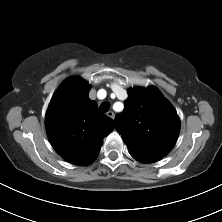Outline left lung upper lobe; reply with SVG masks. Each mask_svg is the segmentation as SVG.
I'll list each match as a JSON object with an SVG mask.
<instances>
[{"label":"left lung upper lobe","instance_id":"1","mask_svg":"<svg viewBox=\"0 0 222 222\" xmlns=\"http://www.w3.org/2000/svg\"><path fill=\"white\" fill-rule=\"evenodd\" d=\"M125 108L115 118L130 155L139 162L153 163L167 155L175 145L180 119L161 92L151 86L128 90Z\"/></svg>","mask_w":222,"mask_h":222}]
</instances>
